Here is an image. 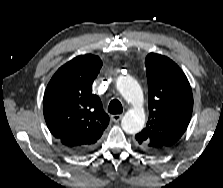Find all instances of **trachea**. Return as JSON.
I'll return each instance as SVG.
<instances>
[{
	"instance_id": "3493384b",
	"label": "trachea",
	"mask_w": 223,
	"mask_h": 188,
	"mask_svg": "<svg viewBox=\"0 0 223 188\" xmlns=\"http://www.w3.org/2000/svg\"><path fill=\"white\" fill-rule=\"evenodd\" d=\"M123 111L122 104L119 100L113 99L109 103L108 112L111 114H120Z\"/></svg>"
}]
</instances>
